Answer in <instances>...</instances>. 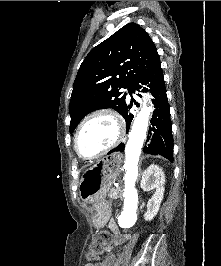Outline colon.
Masks as SVG:
<instances>
[{
	"mask_svg": "<svg viewBox=\"0 0 221 266\" xmlns=\"http://www.w3.org/2000/svg\"><path fill=\"white\" fill-rule=\"evenodd\" d=\"M110 233L108 231H100L94 235L90 244V257L95 259L108 245Z\"/></svg>",
	"mask_w": 221,
	"mask_h": 266,
	"instance_id": "1",
	"label": "colon"
}]
</instances>
